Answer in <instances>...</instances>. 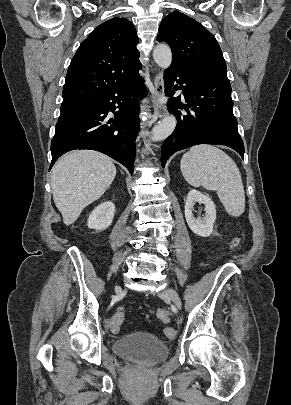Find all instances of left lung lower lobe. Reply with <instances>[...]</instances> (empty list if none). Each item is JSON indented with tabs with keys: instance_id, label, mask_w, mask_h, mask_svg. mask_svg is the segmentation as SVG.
Listing matches in <instances>:
<instances>
[{
	"instance_id": "0a47b994",
	"label": "left lung lower lobe",
	"mask_w": 291,
	"mask_h": 405,
	"mask_svg": "<svg viewBox=\"0 0 291 405\" xmlns=\"http://www.w3.org/2000/svg\"><path fill=\"white\" fill-rule=\"evenodd\" d=\"M164 73L166 95L174 94L172 87L176 81L187 106L179 104L180 96L168 100V110L176 115L178 122L162 145V167L173 153L198 144L226 145L243 157L244 144L233 115L228 78L190 73L171 66ZM179 107L187 113L178 111Z\"/></svg>"
}]
</instances>
